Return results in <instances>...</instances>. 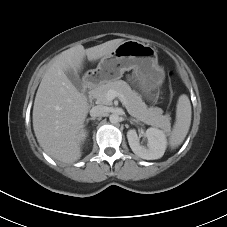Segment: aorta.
I'll return each instance as SVG.
<instances>
[{"label":"aorta","instance_id":"762f6f07","mask_svg":"<svg viewBox=\"0 0 227 227\" xmlns=\"http://www.w3.org/2000/svg\"><path fill=\"white\" fill-rule=\"evenodd\" d=\"M119 119H120V117H119L118 114H111L110 117H109L110 122L113 123V124L118 123Z\"/></svg>","mask_w":227,"mask_h":227}]
</instances>
